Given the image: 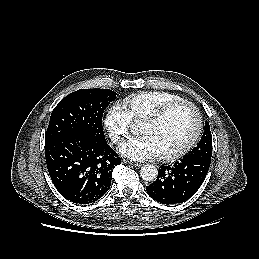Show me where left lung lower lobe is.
I'll list each match as a JSON object with an SVG mask.
<instances>
[{
  "label": "left lung lower lobe",
  "mask_w": 259,
  "mask_h": 259,
  "mask_svg": "<svg viewBox=\"0 0 259 259\" xmlns=\"http://www.w3.org/2000/svg\"><path fill=\"white\" fill-rule=\"evenodd\" d=\"M210 161L186 155L174 165L162 166L155 182L146 187L163 204H178L192 197L203 183Z\"/></svg>",
  "instance_id": "0a47b994"
}]
</instances>
